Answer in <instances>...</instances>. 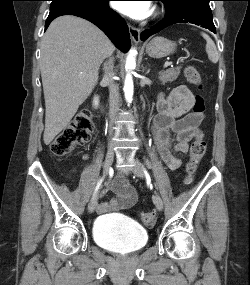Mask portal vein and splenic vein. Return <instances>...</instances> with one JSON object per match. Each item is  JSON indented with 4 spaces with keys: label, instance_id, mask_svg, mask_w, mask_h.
<instances>
[{
    "label": "portal vein and splenic vein",
    "instance_id": "portal-vein-and-splenic-vein-1",
    "mask_svg": "<svg viewBox=\"0 0 250 285\" xmlns=\"http://www.w3.org/2000/svg\"><path fill=\"white\" fill-rule=\"evenodd\" d=\"M172 63L171 62H166L165 64H164V67L166 68V67H168L169 65H171Z\"/></svg>",
    "mask_w": 250,
    "mask_h": 285
}]
</instances>
